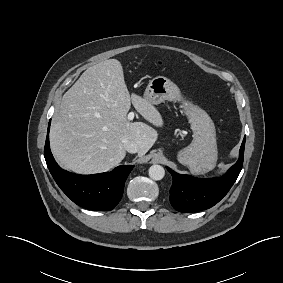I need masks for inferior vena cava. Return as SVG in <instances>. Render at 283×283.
<instances>
[{
    "instance_id": "inferior-vena-cava-1",
    "label": "inferior vena cava",
    "mask_w": 283,
    "mask_h": 283,
    "mask_svg": "<svg viewBox=\"0 0 283 283\" xmlns=\"http://www.w3.org/2000/svg\"><path fill=\"white\" fill-rule=\"evenodd\" d=\"M124 149L129 153H137L139 151L138 144L135 141L125 139L123 141Z\"/></svg>"
}]
</instances>
